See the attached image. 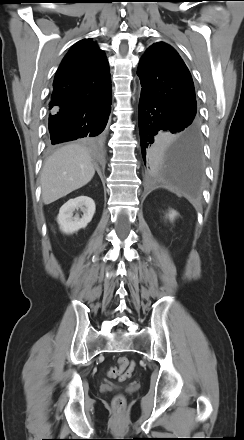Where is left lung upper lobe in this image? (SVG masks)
<instances>
[{"label": "left lung upper lobe", "mask_w": 244, "mask_h": 440, "mask_svg": "<svg viewBox=\"0 0 244 440\" xmlns=\"http://www.w3.org/2000/svg\"><path fill=\"white\" fill-rule=\"evenodd\" d=\"M137 75L142 89L167 105L180 119L199 129L192 77L173 47L164 42L150 46L142 56Z\"/></svg>", "instance_id": "5c2ea615"}]
</instances>
